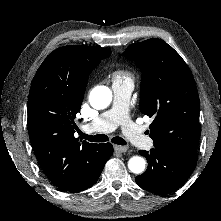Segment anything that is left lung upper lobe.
<instances>
[{
    "label": "left lung upper lobe",
    "mask_w": 221,
    "mask_h": 221,
    "mask_svg": "<svg viewBox=\"0 0 221 221\" xmlns=\"http://www.w3.org/2000/svg\"><path fill=\"white\" fill-rule=\"evenodd\" d=\"M124 56L141 69V113L153 117L154 147L196 153L200 138L199 96L181 56L161 39L127 47Z\"/></svg>",
    "instance_id": "5c2ea615"
}]
</instances>
